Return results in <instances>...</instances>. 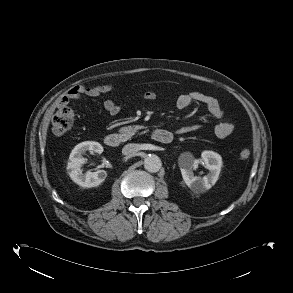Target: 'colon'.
Masks as SVG:
<instances>
[{
    "mask_svg": "<svg viewBox=\"0 0 293 293\" xmlns=\"http://www.w3.org/2000/svg\"><path fill=\"white\" fill-rule=\"evenodd\" d=\"M74 122V113L68 106H59L52 119L54 134L60 136L66 133ZM250 156L248 149H242L239 153V159L246 160Z\"/></svg>",
    "mask_w": 293,
    "mask_h": 293,
    "instance_id": "colon-1",
    "label": "colon"
}]
</instances>
